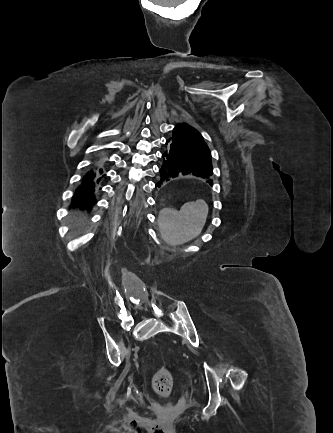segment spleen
I'll return each instance as SVG.
<instances>
[{
  "mask_svg": "<svg viewBox=\"0 0 333 433\" xmlns=\"http://www.w3.org/2000/svg\"><path fill=\"white\" fill-rule=\"evenodd\" d=\"M208 216V206L203 201L191 202L184 207L168 206L161 210L158 228L161 239L170 246L182 245L199 236Z\"/></svg>",
  "mask_w": 333,
  "mask_h": 433,
  "instance_id": "spleen-1",
  "label": "spleen"
}]
</instances>
